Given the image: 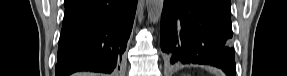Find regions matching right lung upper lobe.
Instances as JSON below:
<instances>
[{"instance_id": "right-lung-upper-lobe-1", "label": "right lung upper lobe", "mask_w": 287, "mask_h": 76, "mask_svg": "<svg viewBox=\"0 0 287 76\" xmlns=\"http://www.w3.org/2000/svg\"><path fill=\"white\" fill-rule=\"evenodd\" d=\"M66 1H68V2H70V3H73V2H75L76 0H66Z\"/></svg>"}]
</instances>
